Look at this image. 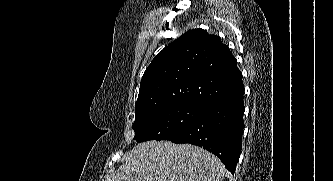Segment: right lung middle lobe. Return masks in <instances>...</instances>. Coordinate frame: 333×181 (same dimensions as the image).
<instances>
[{"label":"right lung middle lobe","mask_w":333,"mask_h":181,"mask_svg":"<svg viewBox=\"0 0 333 181\" xmlns=\"http://www.w3.org/2000/svg\"><path fill=\"white\" fill-rule=\"evenodd\" d=\"M204 106L192 103H167L135 112L134 139L169 140L187 129L201 114Z\"/></svg>","instance_id":"dd1d6c3e"}]
</instances>
